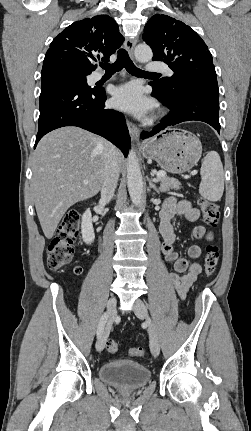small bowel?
Returning a JSON list of instances; mask_svg holds the SVG:
<instances>
[{"label":"small bowel","mask_w":251,"mask_h":431,"mask_svg":"<svg viewBox=\"0 0 251 431\" xmlns=\"http://www.w3.org/2000/svg\"><path fill=\"white\" fill-rule=\"evenodd\" d=\"M175 216L182 217L190 222H195L199 219L200 212L192 207L189 201L177 200L174 197L165 200L160 212V233L163 238L161 250L165 260L173 263V271L169 274V280L178 295L184 298L189 288L201 273V265L198 262L188 263L186 259L180 258L174 250L176 235L172 219ZM193 234L197 239L205 238L211 240L213 238V234L207 231L204 226H197ZM188 255L192 259L199 258L201 255V248L198 245H191L188 249Z\"/></svg>","instance_id":"c3829d8e"}]
</instances>
